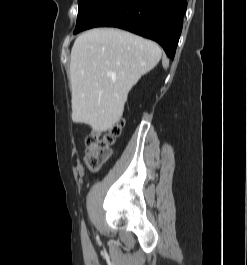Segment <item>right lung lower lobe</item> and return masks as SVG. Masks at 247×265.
Returning a JSON list of instances; mask_svg holds the SVG:
<instances>
[{
	"label": "right lung lower lobe",
	"mask_w": 247,
	"mask_h": 265,
	"mask_svg": "<svg viewBox=\"0 0 247 265\" xmlns=\"http://www.w3.org/2000/svg\"><path fill=\"white\" fill-rule=\"evenodd\" d=\"M187 0H99L74 34L93 27H118L158 42L174 58Z\"/></svg>",
	"instance_id": "98d812e1"
}]
</instances>
